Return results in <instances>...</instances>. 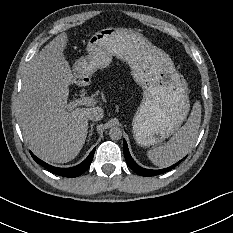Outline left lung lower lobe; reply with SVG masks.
Segmentation results:
<instances>
[{
	"instance_id": "obj_1",
	"label": "left lung lower lobe",
	"mask_w": 233,
	"mask_h": 233,
	"mask_svg": "<svg viewBox=\"0 0 233 233\" xmlns=\"http://www.w3.org/2000/svg\"><path fill=\"white\" fill-rule=\"evenodd\" d=\"M123 151H124V156L125 159L127 161V164L129 165V167L134 170V172H136L138 175L141 176H154V175H159V174H163L165 172L170 171L171 169L175 168L181 161L177 162L176 164L165 168V169H160V170H150V169H144L142 167H140L138 164L135 163V161L133 160V158L131 157L128 147H127V143L125 140H123Z\"/></svg>"
}]
</instances>
